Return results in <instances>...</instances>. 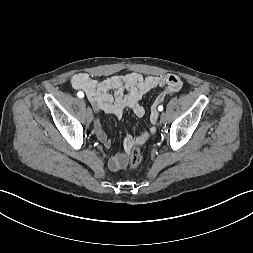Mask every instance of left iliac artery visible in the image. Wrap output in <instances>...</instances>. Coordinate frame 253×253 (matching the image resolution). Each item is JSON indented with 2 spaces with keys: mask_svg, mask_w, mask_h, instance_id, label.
<instances>
[{
  "mask_svg": "<svg viewBox=\"0 0 253 253\" xmlns=\"http://www.w3.org/2000/svg\"><path fill=\"white\" fill-rule=\"evenodd\" d=\"M158 110H159V111H162V110H163V106H159V107H158Z\"/></svg>",
  "mask_w": 253,
  "mask_h": 253,
  "instance_id": "left-iliac-artery-1",
  "label": "left iliac artery"
}]
</instances>
